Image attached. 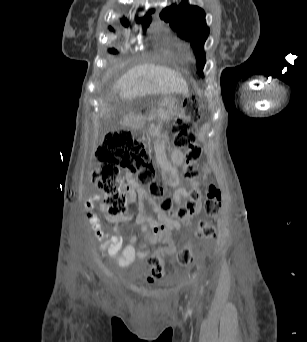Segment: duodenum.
<instances>
[{"mask_svg": "<svg viewBox=\"0 0 307 342\" xmlns=\"http://www.w3.org/2000/svg\"><path fill=\"white\" fill-rule=\"evenodd\" d=\"M121 123L124 124V126L126 128H129L131 126V124L133 123V118L132 117H122Z\"/></svg>", "mask_w": 307, "mask_h": 342, "instance_id": "obj_1", "label": "duodenum"}]
</instances>
